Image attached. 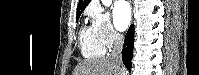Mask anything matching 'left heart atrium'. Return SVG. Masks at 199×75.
Returning <instances> with one entry per match:
<instances>
[{"label":"left heart atrium","mask_w":199,"mask_h":75,"mask_svg":"<svg viewBox=\"0 0 199 75\" xmlns=\"http://www.w3.org/2000/svg\"><path fill=\"white\" fill-rule=\"evenodd\" d=\"M114 21L118 30H125L131 20V10L126 1H118L113 9Z\"/></svg>","instance_id":"1"}]
</instances>
